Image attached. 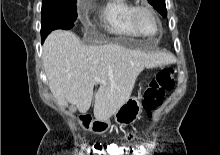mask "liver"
<instances>
[{
    "label": "liver",
    "mask_w": 220,
    "mask_h": 155,
    "mask_svg": "<svg viewBox=\"0 0 220 155\" xmlns=\"http://www.w3.org/2000/svg\"><path fill=\"white\" fill-rule=\"evenodd\" d=\"M42 61L49 89L59 106L85 114L94 96V116L109 120L132 93L146 68L174 62L171 54L132 50L119 44L85 46L71 31L55 30L43 44ZM100 82L95 81V77ZM99 89L94 94V85Z\"/></svg>",
    "instance_id": "liver-1"
}]
</instances>
